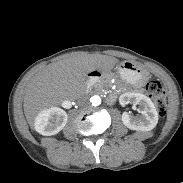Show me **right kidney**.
I'll list each match as a JSON object with an SVG mask.
<instances>
[{"label":"right kidney","instance_id":"1","mask_svg":"<svg viewBox=\"0 0 183 183\" xmlns=\"http://www.w3.org/2000/svg\"><path fill=\"white\" fill-rule=\"evenodd\" d=\"M68 120L67 113L58 107L43 109L36 117L35 130L45 136L55 135L60 132Z\"/></svg>","mask_w":183,"mask_h":183}]
</instances>
